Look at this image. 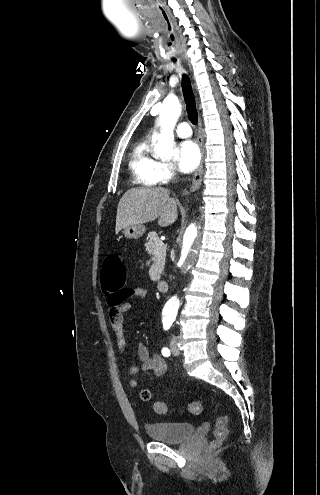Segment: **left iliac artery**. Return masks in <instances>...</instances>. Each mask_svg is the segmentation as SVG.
Returning a JSON list of instances; mask_svg holds the SVG:
<instances>
[{
	"instance_id": "44dca946",
	"label": "left iliac artery",
	"mask_w": 320,
	"mask_h": 495,
	"mask_svg": "<svg viewBox=\"0 0 320 495\" xmlns=\"http://www.w3.org/2000/svg\"><path fill=\"white\" fill-rule=\"evenodd\" d=\"M172 323H173L172 319H168V318L164 319V321H163L164 329L168 330L171 327ZM162 354H163V356L168 357L170 355V350L167 347H164L162 349Z\"/></svg>"
}]
</instances>
